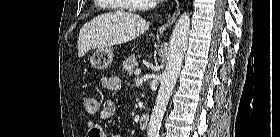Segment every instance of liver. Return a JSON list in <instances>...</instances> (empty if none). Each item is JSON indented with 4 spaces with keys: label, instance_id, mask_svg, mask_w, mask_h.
I'll return each mask as SVG.
<instances>
[{
    "label": "liver",
    "instance_id": "obj_1",
    "mask_svg": "<svg viewBox=\"0 0 280 137\" xmlns=\"http://www.w3.org/2000/svg\"><path fill=\"white\" fill-rule=\"evenodd\" d=\"M149 27V22L139 15L115 11L101 14L85 23L79 32L78 56L89 50L127 43Z\"/></svg>",
    "mask_w": 280,
    "mask_h": 137
}]
</instances>
